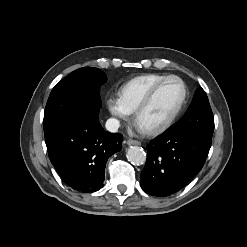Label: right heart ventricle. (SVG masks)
<instances>
[{
  "instance_id": "obj_1",
  "label": "right heart ventricle",
  "mask_w": 247,
  "mask_h": 247,
  "mask_svg": "<svg viewBox=\"0 0 247 247\" xmlns=\"http://www.w3.org/2000/svg\"><path fill=\"white\" fill-rule=\"evenodd\" d=\"M167 77L163 74H145L132 78L119 89V99L128 113H134L138 105L159 81Z\"/></svg>"
}]
</instances>
